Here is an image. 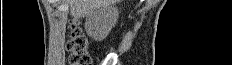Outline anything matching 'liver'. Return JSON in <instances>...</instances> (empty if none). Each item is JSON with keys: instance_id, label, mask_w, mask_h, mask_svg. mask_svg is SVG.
Instances as JSON below:
<instances>
[{"instance_id": "obj_1", "label": "liver", "mask_w": 232, "mask_h": 65, "mask_svg": "<svg viewBox=\"0 0 232 65\" xmlns=\"http://www.w3.org/2000/svg\"><path fill=\"white\" fill-rule=\"evenodd\" d=\"M118 2L121 0H67L71 15L74 18L85 17L98 8L114 5Z\"/></svg>"}]
</instances>
